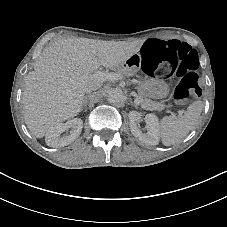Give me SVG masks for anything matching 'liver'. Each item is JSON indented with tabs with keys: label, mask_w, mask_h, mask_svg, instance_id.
<instances>
[{
	"label": "liver",
	"mask_w": 227,
	"mask_h": 227,
	"mask_svg": "<svg viewBox=\"0 0 227 227\" xmlns=\"http://www.w3.org/2000/svg\"><path fill=\"white\" fill-rule=\"evenodd\" d=\"M143 40L105 41L60 39L46 47L24 78L22 104L28 129L37 137L82 110L88 85L104 80L95 76L100 66L117 70L138 53Z\"/></svg>",
	"instance_id": "1"
}]
</instances>
